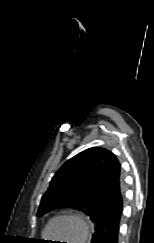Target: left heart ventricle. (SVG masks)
I'll use <instances>...</instances> for the list:
<instances>
[{
	"label": "left heart ventricle",
	"mask_w": 154,
	"mask_h": 243,
	"mask_svg": "<svg viewBox=\"0 0 154 243\" xmlns=\"http://www.w3.org/2000/svg\"><path fill=\"white\" fill-rule=\"evenodd\" d=\"M79 234L78 224L69 219L55 221L49 230V236L57 239L68 238L70 240L68 243H76L79 239Z\"/></svg>",
	"instance_id": "obj_1"
}]
</instances>
